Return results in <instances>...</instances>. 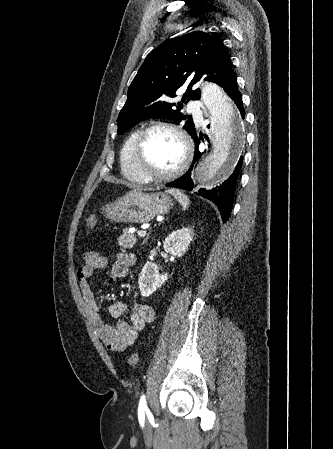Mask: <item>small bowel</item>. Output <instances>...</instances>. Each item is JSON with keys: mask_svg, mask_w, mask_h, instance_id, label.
<instances>
[{"mask_svg": "<svg viewBox=\"0 0 333 449\" xmlns=\"http://www.w3.org/2000/svg\"><path fill=\"white\" fill-rule=\"evenodd\" d=\"M133 262L132 255L119 254L110 267L108 283L112 284L124 277ZM107 264V258L98 252H85L83 262L77 272L78 283L86 314L99 338L108 349L123 351L136 342L139 332L153 321L155 312L153 307L148 304H135L129 309L126 305L116 302L109 307L111 315L117 319L115 326L105 322L102 309L95 299L89 280L96 270L105 268ZM126 313H128V319L122 318Z\"/></svg>", "mask_w": 333, "mask_h": 449, "instance_id": "c3829d8e", "label": "small bowel"}]
</instances>
